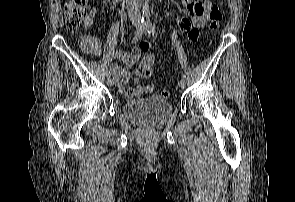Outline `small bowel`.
Wrapping results in <instances>:
<instances>
[{"instance_id": "1", "label": "small bowel", "mask_w": 295, "mask_h": 202, "mask_svg": "<svg viewBox=\"0 0 295 202\" xmlns=\"http://www.w3.org/2000/svg\"><path fill=\"white\" fill-rule=\"evenodd\" d=\"M107 2L109 0H102ZM184 7L188 12V17H184L179 22V29L187 33L188 37L193 40L197 38L199 29L204 27L209 19V12L212 8L210 0H182ZM98 7L90 9L89 17L85 19V27L92 26V18L97 16ZM88 44L89 49H85L86 53L99 56L101 54V45L97 37L88 35L82 38V44ZM150 44L148 42L142 43L139 47L133 49L131 52L117 50L114 52V57L121 60L126 66H132L141 56L142 51L148 50ZM154 63V61H153ZM141 65V63H140ZM111 70L117 79L119 91L127 98H140L144 94L152 93L153 90H144V86L139 85L141 79H150L152 75L144 74L142 71H136L133 87H127V82L130 77L128 68L120 67L116 64L111 66Z\"/></svg>"}]
</instances>
